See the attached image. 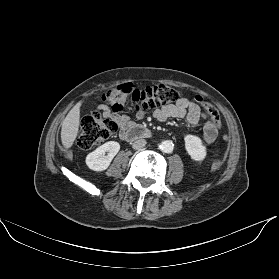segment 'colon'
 Segmentation results:
<instances>
[{
	"mask_svg": "<svg viewBox=\"0 0 279 279\" xmlns=\"http://www.w3.org/2000/svg\"><path fill=\"white\" fill-rule=\"evenodd\" d=\"M180 98L181 94L177 89L164 84L141 89L135 88L131 83L118 85L102 96L109 108L108 113L94 112L82 119L77 138L78 150L85 152L99 146L115 133L118 129V113L126 107L131 105L136 112H146L176 103ZM195 99L202 103L213 125L219 129L220 117L216 108L203 101L200 96H195Z\"/></svg>",
	"mask_w": 279,
	"mask_h": 279,
	"instance_id": "1",
	"label": "colon"
}]
</instances>
